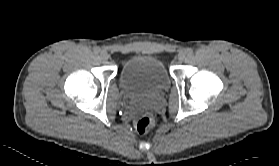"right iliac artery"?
Here are the masks:
<instances>
[{
    "label": "right iliac artery",
    "instance_id": "82829eb1",
    "mask_svg": "<svg viewBox=\"0 0 279 166\" xmlns=\"http://www.w3.org/2000/svg\"><path fill=\"white\" fill-rule=\"evenodd\" d=\"M93 51H94V53H96V54H97V53H99V52H100V48H99V47H94V48H93Z\"/></svg>",
    "mask_w": 279,
    "mask_h": 166
}]
</instances>
